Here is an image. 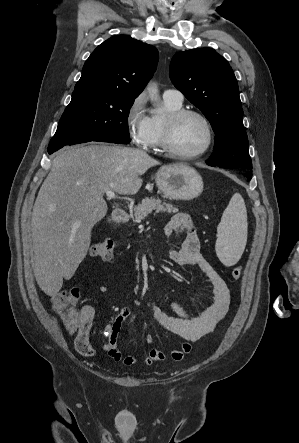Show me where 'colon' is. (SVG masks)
Here are the masks:
<instances>
[{
	"mask_svg": "<svg viewBox=\"0 0 299 443\" xmlns=\"http://www.w3.org/2000/svg\"><path fill=\"white\" fill-rule=\"evenodd\" d=\"M116 243L112 239H104L96 242L91 248L92 256L103 261L110 262L114 259ZM242 274V268L236 266L232 269L231 275L234 279H239ZM80 300V290L78 287H72L62 290L52 298V306L55 313L61 318L67 330L73 333L86 331L87 322L77 309Z\"/></svg>",
	"mask_w": 299,
	"mask_h": 443,
	"instance_id": "5ec220e1",
	"label": "colon"
}]
</instances>
